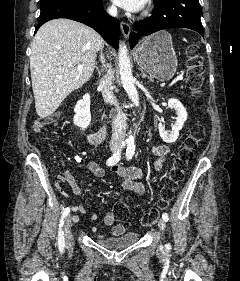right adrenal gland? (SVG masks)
I'll return each instance as SVG.
<instances>
[{
  "label": "right adrenal gland",
  "mask_w": 240,
  "mask_h": 281,
  "mask_svg": "<svg viewBox=\"0 0 240 281\" xmlns=\"http://www.w3.org/2000/svg\"><path fill=\"white\" fill-rule=\"evenodd\" d=\"M100 61H101V63H102V68H101V70L99 71V74H100L101 72H104L105 69L108 67V65L105 63V57H104V54H103L102 51H101V53H100Z\"/></svg>",
  "instance_id": "2a0ac1e0"
}]
</instances>
